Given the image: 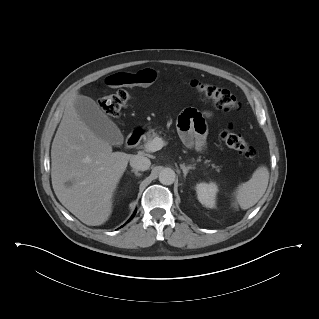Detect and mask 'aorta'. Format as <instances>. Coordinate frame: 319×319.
I'll list each match as a JSON object with an SVG mask.
<instances>
[{
    "label": "aorta",
    "instance_id": "obj_1",
    "mask_svg": "<svg viewBox=\"0 0 319 319\" xmlns=\"http://www.w3.org/2000/svg\"><path fill=\"white\" fill-rule=\"evenodd\" d=\"M175 172L171 168H164L159 173V181L163 185H171L175 181Z\"/></svg>",
    "mask_w": 319,
    "mask_h": 319
}]
</instances>
